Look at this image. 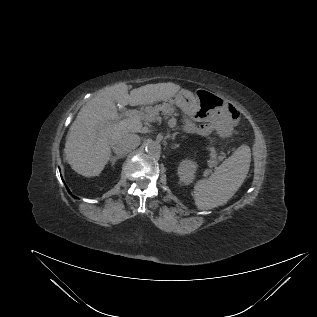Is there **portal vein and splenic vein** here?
Returning a JSON list of instances; mask_svg holds the SVG:
<instances>
[{"label": "portal vein and splenic vein", "instance_id": "obj_1", "mask_svg": "<svg viewBox=\"0 0 317 317\" xmlns=\"http://www.w3.org/2000/svg\"><path fill=\"white\" fill-rule=\"evenodd\" d=\"M121 117H128L132 118L136 121H141L145 118L144 113L138 111V110H127L124 113H122Z\"/></svg>", "mask_w": 317, "mask_h": 317}]
</instances>
